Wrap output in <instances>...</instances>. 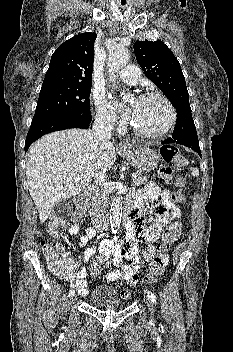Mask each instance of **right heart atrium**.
Returning <instances> with one entry per match:
<instances>
[{"label": "right heart atrium", "instance_id": "1", "mask_svg": "<svg viewBox=\"0 0 233 352\" xmlns=\"http://www.w3.org/2000/svg\"><path fill=\"white\" fill-rule=\"evenodd\" d=\"M96 120L101 125L113 127L118 124V118L113 107L107 103L103 95H95Z\"/></svg>", "mask_w": 233, "mask_h": 352}]
</instances>
